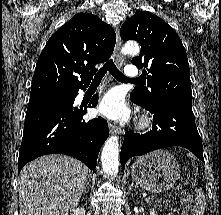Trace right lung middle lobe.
Returning a JSON list of instances; mask_svg holds the SVG:
<instances>
[{
  "mask_svg": "<svg viewBox=\"0 0 221 215\" xmlns=\"http://www.w3.org/2000/svg\"><path fill=\"white\" fill-rule=\"evenodd\" d=\"M66 95H55V96H50V97H46V98L35 100V101H29L28 107L61 101L66 97Z\"/></svg>",
  "mask_w": 221,
  "mask_h": 215,
  "instance_id": "obj_1",
  "label": "right lung middle lobe"
}]
</instances>
